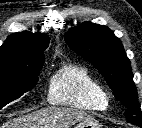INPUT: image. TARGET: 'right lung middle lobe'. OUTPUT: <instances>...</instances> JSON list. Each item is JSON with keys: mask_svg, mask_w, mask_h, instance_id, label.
<instances>
[{"mask_svg": "<svg viewBox=\"0 0 142 128\" xmlns=\"http://www.w3.org/2000/svg\"><path fill=\"white\" fill-rule=\"evenodd\" d=\"M44 60L36 61L14 77L0 78V109L35 87Z\"/></svg>", "mask_w": 142, "mask_h": 128, "instance_id": "1", "label": "right lung middle lobe"}]
</instances>
